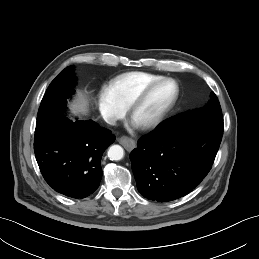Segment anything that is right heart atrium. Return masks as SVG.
Returning <instances> with one entry per match:
<instances>
[{
	"instance_id": "1",
	"label": "right heart atrium",
	"mask_w": 259,
	"mask_h": 259,
	"mask_svg": "<svg viewBox=\"0 0 259 259\" xmlns=\"http://www.w3.org/2000/svg\"><path fill=\"white\" fill-rule=\"evenodd\" d=\"M97 106L102 118L109 124H114L125 116V109L119 106L105 91L97 95Z\"/></svg>"
}]
</instances>
